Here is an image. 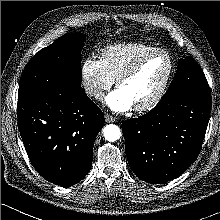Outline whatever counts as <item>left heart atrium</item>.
<instances>
[{
    "instance_id": "obj_1",
    "label": "left heart atrium",
    "mask_w": 220,
    "mask_h": 220,
    "mask_svg": "<svg viewBox=\"0 0 220 220\" xmlns=\"http://www.w3.org/2000/svg\"><path fill=\"white\" fill-rule=\"evenodd\" d=\"M106 103L110 109L116 112H125L133 107L130 97L119 87L107 96Z\"/></svg>"
}]
</instances>
